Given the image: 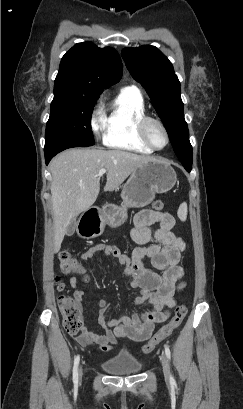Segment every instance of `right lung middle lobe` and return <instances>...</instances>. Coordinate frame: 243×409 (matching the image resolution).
<instances>
[{
  "label": "right lung middle lobe",
  "instance_id": "right-lung-middle-lobe-1",
  "mask_svg": "<svg viewBox=\"0 0 243 409\" xmlns=\"http://www.w3.org/2000/svg\"><path fill=\"white\" fill-rule=\"evenodd\" d=\"M98 96H87L54 88L45 147L57 142L88 147L95 144L91 115Z\"/></svg>",
  "mask_w": 243,
  "mask_h": 409
}]
</instances>
